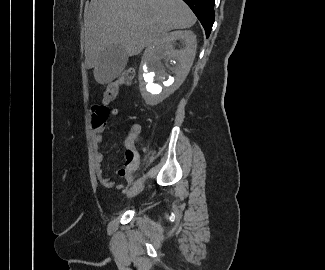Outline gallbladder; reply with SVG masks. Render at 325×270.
Wrapping results in <instances>:
<instances>
[{"label":"gallbladder","instance_id":"bac80fb5","mask_svg":"<svg viewBox=\"0 0 325 270\" xmlns=\"http://www.w3.org/2000/svg\"><path fill=\"white\" fill-rule=\"evenodd\" d=\"M127 61L128 55L125 49L119 44H113L101 54L96 67L97 73L103 78L112 81L123 71Z\"/></svg>","mask_w":325,"mask_h":270}]
</instances>
